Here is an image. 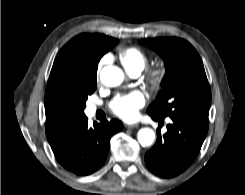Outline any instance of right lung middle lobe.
<instances>
[{
    "mask_svg": "<svg viewBox=\"0 0 245 195\" xmlns=\"http://www.w3.org/2000/svg\"><path fill=\"white\" fill-rule=\"evenodd\" d=\"M117 43L118 40L111 42L106 47V51L111 50ZM98 62L99 60H77L72 63L68 70V91L81 110L86 107L88 95H91L96 90Z\"/></svg>",
    "mask_w": 245,
    "mask_h": 195,
    "instance_id": "dd1d6c3e",
    "label": "right lung middle lobe"
}]
</instances>
